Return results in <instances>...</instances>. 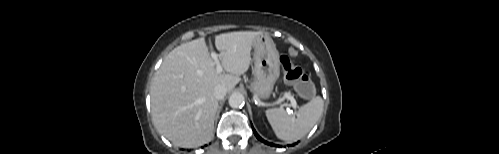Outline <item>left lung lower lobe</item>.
<instances>
[{"label":"left lung lower lobe","mask_w":499,"mask_h":154,"mask_svg":"<svg viewBox=\"0 0 499 154\" xmlns=\"http://www.w3.org/2000/svg\"><path fill=\"white\" fill-rule=\"evenodd\" d=\"M252 129H253V132H254L255 136H256V137H257L260 141H262L263 143H265V144H267V145L276 146V145H274V144H272V143H270V142H267V141L263 140V139H262V138H261V137L257 134V132L255 131V129L253 128V126H252Z\"/></svg>","instance_id":"1"}]
</instances>
